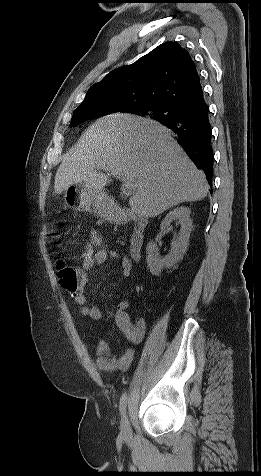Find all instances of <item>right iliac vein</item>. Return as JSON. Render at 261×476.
<instances>
[{
	"label": "right iliac vein",
	"mask_w": 261,
	"mask_h": 476,
	"mask_svg": "<svg viewBox=\"0 0 261 476\" xmlns=\"http://www.w3.org/2000/svg\"><path fill=\"white\" fill-rule=\"evenodd\" d=\"M121 433L125 437H129L131 434L130 423L126 414L121 418Z\"/></svg>",
	"instance_id": "right-iliac-vein-1"
}]
</instances>
